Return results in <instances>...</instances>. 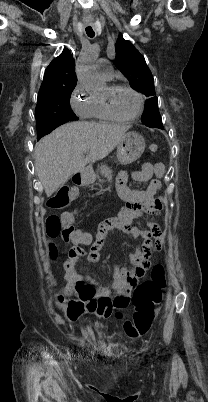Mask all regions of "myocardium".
<instances>
[{
	"instance_id": "1",
	"label": "myocardium",
	"mask_w": 208,
	"mask_h": 402,
	"mask_svg": "<svg viewBox=\"0 0 208 402\" xmlns=\"http://www.w3.org/2000/svg\"><path fill=\"white\" fill-rule=\"evenodd\" d=\"M119 89H126L129 90L130 92H132L133 94H135L139 100V108L138 111L130 116V117H124L122 115H120L119 113L116 112V110L114 109L113 106V96L115 94V92ZM101 97L102 100L109 112V114L114 117L115 119H117L118 121H133L137 118H139L141 116V114L143 113L144 110V105H145V100L143 95L135 90L134 88H132L131 86L128 85H113V86H107L104 91L101 93Z\"/></svg>"
}]
</instances>
